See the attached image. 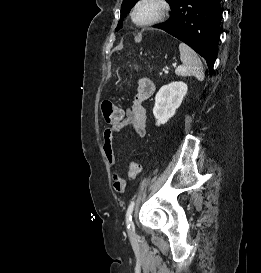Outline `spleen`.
I'll list each match as a JSON object with an SVG mask.
<instances>
[{
	"mask_svg": "<svg viewBox=\"0 0 261 273\" xmlns=\"http://www.w3.org/2000/svg\"><path fill=\"white\" fill-rule=\"evenodd\" d=\"M180 59L182 65L175 70L178 76H194L199 81L204 80V70L202 62L195 51L185 43L179 44Z\"/></svg>",
	"mask_w": 261,
	"mask_h": 273,
	"instance_id": "3e777b00",
	"label": "spleen"
}]
</instances>
